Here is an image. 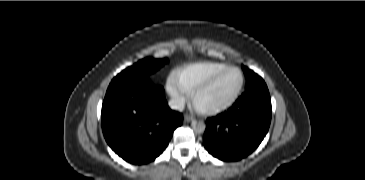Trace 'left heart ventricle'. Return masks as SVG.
Instances as JSON below:
<instances>
[{"mask_svg":"<svg viewBox=\"0 0 365 180\" xmlns=\"http://www.w3.org/2000/svg\"><path fill=\"white\" fill-rule=\"evenodd\" d=\"M241 83L240 73L236 70L225 72L215 82L198 94L196 104L202 109H209L228 102L236 93Z\"/></svg>","mask_w":365,"mask_h":180,"instance_id":"obj_1","label":"left heart ventricle"}]
</instances>
